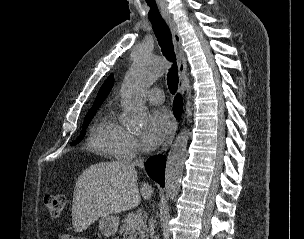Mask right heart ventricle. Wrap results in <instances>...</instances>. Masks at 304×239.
<instances>
[{
	"label": "right heart ventricle",
	"instance_id": "1",
	"mask_svg": "<svg viewBox=\"0 0 304 239\" xmlns=\"http://www.w3.org/2000/svg\"><path fill=\"white\" fill-rule=\"evenodd\" d=\"M121 129L110 115L101 116L90 129L88 146L108 157H116L115 144Z\"/></svg>",
	"mask_w": 304,
	"mask_h": 239
}]
</instances>
